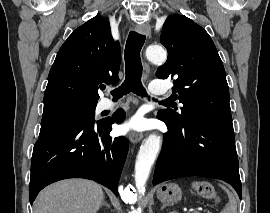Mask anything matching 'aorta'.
I'll list each match as a JSON object with an SVG mask.
<instances>
[{
  "label": "aorta",
  "mask_w": 270,
  "mask_h": 213,
  "mask_svg": "<svg viewBox=\"0 0 270 213\" xmlns=\"http://www.w3.org/2000/svg\"><path fill=\"white\" fill-rule=\"evenodd\" d=\"M146 57L153 63H164L167 53L161 46H150L146 50ZM161 147V138L150 134L141 145L135 163V184L139 194H144L151 167Z\"/></svg>",
  "instance_id": "1"
}]
</instances>
